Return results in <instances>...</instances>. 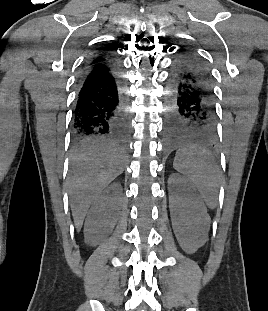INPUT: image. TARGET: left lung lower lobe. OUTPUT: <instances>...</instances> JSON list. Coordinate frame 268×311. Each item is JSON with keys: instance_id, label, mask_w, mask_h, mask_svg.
I'll use <instances>...</instances> for the list:
<instances>
[{"instance_id": "0a47b994", "label": "left lung lower lobe", "mask_w": 268, "mask_h": 311, "mask_svg": "<svg viewBox=\"0 0 268 311\" xmlns=\"http://www.w3.org/2000/svg\"><path fill=\"white\" fill-rule=\"evenodd\" d=\"M169 91L165 139L172 143L217 141L212 78L199 56L184 52L174 60Z\"/></svg>"}]
</instances>
